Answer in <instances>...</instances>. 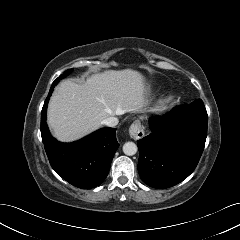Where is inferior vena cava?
<instances>
[{"label": "inferior vena cava", "instance_id": "inferior-vena-cava-1", "mask_svg": "<svg viewBox=\"0 0 240 240\" xmlns=\"http://www.w3.org/2000/svg\"><path fill=\"white\" fill-rule=\"evenodd\" d=\"M119 120L118 118L111 116L107 119L103 120L102 124L108 126V127H115L118 124Z\"/></svg>", "mask_w": 240, "mask_h": 240}]
</instances>
